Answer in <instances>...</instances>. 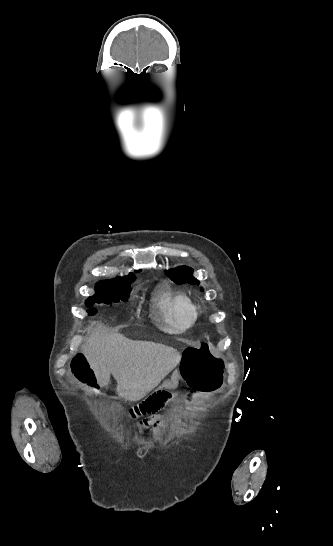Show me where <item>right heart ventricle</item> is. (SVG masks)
I'll list each match as a JSON object with an SVG mask.
<instances>
[{"label": "right heart ventricle", "instance_id": "e07e8e85", "mask_svg": "<svg viewBox=\"0 0 333 546\" xmlns=\"http://www.w3.org/2000/svg\"><path fill=\"white\" fill-rule=\"evenodd\" d=\"M153 304L159 323L171 333H183L195 323V305L183 292L163 289L156 294Z\"/></svg>", "mask_w": 333, "mask_h": 546}]
</instances>
